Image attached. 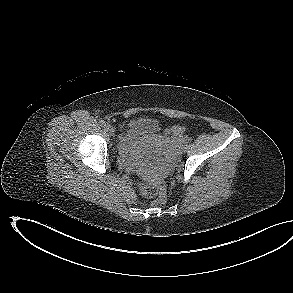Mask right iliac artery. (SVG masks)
Listing matches in <instances>:
<instances>
[{
  "instance_id": "82829eb1",
  "label": "right iliac artery",
  "mask_w": 293,
  "mask_h": 293,
  "mask_svg": "<svg viewBox=\"0 0 293 293\" xmlns=\"http://www.w3.org/2000/svg\"><path fill=\"white\" fill-rule=\"evenodd\" d=\"M99 123H100V125H101L102 127H105V126H106V123H105L104 120H100Z\"/></svg>"
}]
</instances>
